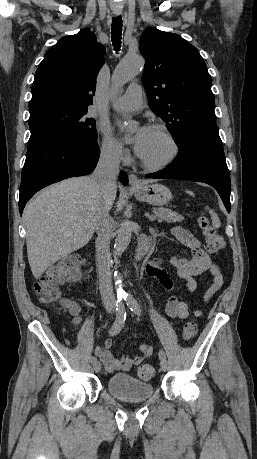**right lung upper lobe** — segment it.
<instances>
[{"label":"right lung upper lobe","instance_id":"obj_1","mask_svg":"<svg viewBox=\"0 0 257 459\" xmlns=\"http://www.w3.org/2000/svg\"><path fill=\"white\" fill-rule=\"evenodd\" d=\"M105 48L89 29L60 39L45 54L32 85L30 112L49 106L93 104Z\"/></svg>","mask_w":257,"mask_h":459}]
</instances>
